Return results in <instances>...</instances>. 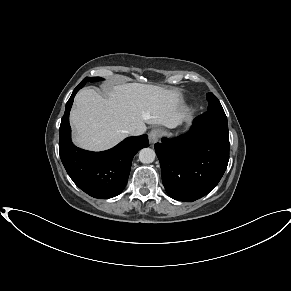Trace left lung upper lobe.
I'll use <instances>...</instances> for the list:
<instances>
[{
	"label": "left lung upper lobe",
	"mask_w": 291,
	"mask_h": 291,
	"mask_svg": "<svg viewBox=\"0 0 291 291\" xmlns=\"http://www.w3.org/2000/svg\"><path fill=\"white\" fill-rule=\"evenodd\" d=\"M207 100H208V112H224L219 100L213 93L207 94Z\"/></svg>",
	"instance_id": "left-lung-upper-lobe-1"
}]
</instances>
